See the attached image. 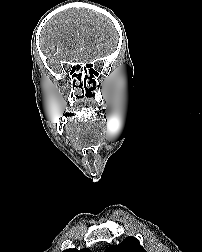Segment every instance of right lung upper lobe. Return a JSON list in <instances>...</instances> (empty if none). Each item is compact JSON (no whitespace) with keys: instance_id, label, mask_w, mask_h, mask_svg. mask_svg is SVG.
Segmentation results:
<instances>
[{"instance_id":"1","label":"right lung upper lobe","mask_w":202,"mask_h":252,"mask_svg":"<svg viewBox=\"0 0 202 252\" xmlns=\"http://www.w3.org/2000/svg\"><path fill=\"white\" fill-rule=\"evenodd\" d=\"M63 252H91V251L88 248H84L82 250H78V249L74 248V249H67Z\"/></svg>"}]
</instances>
